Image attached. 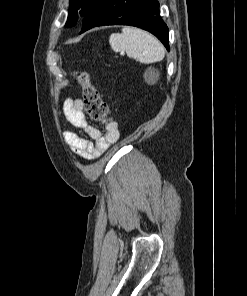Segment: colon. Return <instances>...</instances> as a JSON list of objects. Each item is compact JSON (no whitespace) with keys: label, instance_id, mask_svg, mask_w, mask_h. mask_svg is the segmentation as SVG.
Here are the masks:
<instances>
[{"label":"colon","instance_id":"obj_1","mask_svg":"<svg viewBox=\"0 0 247 296\" xmlns=\"http://www.w3.org/2000/svg\"><path fill=\"white\" fill-rule=\"evenodd\" d=\"M74 78L82 89L83 102L88 114L93 119L106 120L108 106L91 83L89 74L84 70H78L74 73Z\"/></svg>","mask_w":247,"mask_h":296}]
</instances>
